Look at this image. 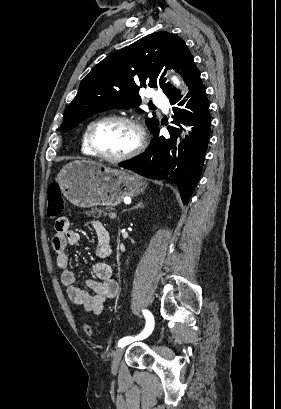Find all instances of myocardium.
Listing matches in <instances>:
<instances>
[{
  "label": "myocardium",
  "instance_id": "obj_1",
  "mask_svg": "<svg viewBox=\"0 0 281 409\" xmlns=\"http://www.w3.org/2000/svg\"><path fill=\"white\" fill-rule=\"evenodd\" d=\"M109 122H123V123L130 125L136 130L138 134V142L133 149H131L130 151L126 152L123 155L114 156V157L104 155L98 150L97 141H96L98 131L104 124L109 123ZM146 139L147 137H146V132L144 128L135 119L130 118L128 116H124V115H109V116L102 117L95 123L92 129L91 135H90V146H91L93 154L96 157L104 161H107V162L120 163V162L130 160L136 157L137 155H139L145 147Z\"/></svg>",
  "mask_w": 281,
  "mask_h": 409
}]
</instances>
